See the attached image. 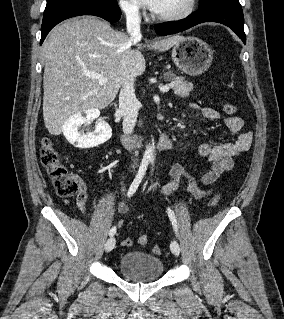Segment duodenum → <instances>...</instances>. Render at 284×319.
Here are the masks:
<instances>
[{
	"label": "duodenum",
	"instance_id": "obj_1",
	"mask_svg": "<svg viewBox=\"0 0 284 319\" xmlns=\"http://www.w3.org/2000/svg\"><path fill=\"white\" fill-rule=\"evenodd\" d=\"M123 142L128 147L140 146L145 142V140L135 134H126L123 137ZM153 146L158 150H168L172 147V139L168 134H162L159 140L153 143Z\"/></svg>",
	"mask_w": 284,
	"mask_h": 319
}]
</instances>
